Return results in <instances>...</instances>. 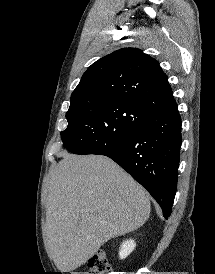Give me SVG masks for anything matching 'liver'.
<instances>
[{"mask_svg":"<svg viewBox=\"0 0 215 274\" xmlns=\"http://www.w3.org/2000/svg\"><path fill=\"white\" fill-rule=\"evenodd\" d=\"M46 208L47 249L56 267L70 272L108 240L149 218L145 189L110 158L62 154Z\"/></svg>","mask_w":215,"mask_h":274,"instance_id":"6515ba94","label":"liver"}]
</instances>
